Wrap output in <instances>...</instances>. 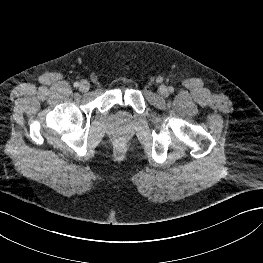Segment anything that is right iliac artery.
Segmentation results:
<instances>
[{"mask_svg":"<svg viewBox=\"0 0 263 263\" xmlns=\"http://www.w3.org/2000/svg\"><path fill=\"white\" fill-rule=\"evenodd\" d=\"M74 87H76V88L79 87V83H78V82H75V83H74Z\"/></svg>","mask_w":263,"mask_h":263,"instance_id":"right-iliac-artery-1","label":"right iliac artery"}]
</instances>
